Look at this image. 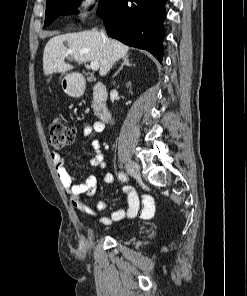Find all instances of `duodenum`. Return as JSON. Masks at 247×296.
I'll use <instances>...</instances> for the list:
<instances>
[{"label": "duodenum", "instance_id": "1", "mask_svg": "<svg viewBox=\"0 0 247 296\" xmlns=\"http://www.w3.org/2000/svg\"><path fill=\"white\" fill-rule=\"evenodd\" d=\"M93 102L95 113L98 119L103 122L107 123L111 119V112L107 106V90L102 83H97L93 89Z\"/></svg>", "mask_w": 247, "mask_h": 296}]
</instances>
